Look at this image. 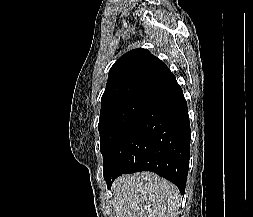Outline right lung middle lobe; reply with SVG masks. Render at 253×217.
Masks as SVG:
<instances>
[{"mask_svg":"<svg viewBox=\"0 0 253 217\" xmlns=\"http://www.w3.org/2000/svg\"><path fill=\"white\" fill-rule=\"evenodd\" d=\"M150 101L129 99L109 105L101 110L98 124L103 171L117 142L129 125L147 107Z\"/></svg>","mask_w":253,"mask_h":217,"instance_id":"right-lung-middle-lobe-1","label":"right lung middle lobe"}]
</instances>
